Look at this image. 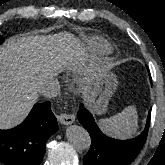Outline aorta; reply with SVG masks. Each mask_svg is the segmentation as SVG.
Here are the masks:
<instances>
[{
    "instance_id": "1",
    "label": "aorta",
    "mask_w": 165,
    "mask_h": 165,
    "mask_svg": "<svg viewBox=\"0 0 165 165\" xmlns=\"http://www.w3.org/2000/svg\"><path fill=\"white\" fill-rule=\"evenodd\" d=\"M66 137L76 149L85 150L90 147L91 137L81 126H69L66 130Z\"/></svg>"
}]
</instances>
